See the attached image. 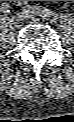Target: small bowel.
I'll use <instances>...</instances> for the list:
<instances>
[{"instance_id":"obj_1","label":"small bowel","mask_w":74,"mask_h":122,"mask_svg":"<svg viewBox=\"0 0 74 122\" xmlns=\"http://www.w3.org/2000/svg\"><path fill=\"white\" fill-rule=\"evenodd\" d=\"M26 2H27V1H22L21 3L24 4V3H26Z\"/></svg>"}]
</instances>
